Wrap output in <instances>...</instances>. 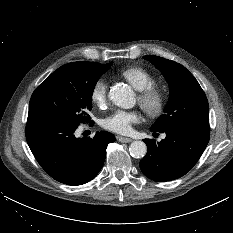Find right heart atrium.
Here are the masks:
<instances>
[{
  "instance_id": "right-heart-atrium-1",
  "label": "right heart atrium",
  "mask_w": 233,
  "mask_h": 233,
  "mask_svg": "<svg viewBox=\"0 0 233 233\" xmlns=\"http://www.w3.org/2000/svg\"><path fill=\"white\" fill-rule=\"evenodd\" d=\"M108 82L104 79H98L91 89V101L98 107H104L108 100Z\"/></svg>"
}]
</instances>
